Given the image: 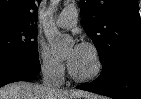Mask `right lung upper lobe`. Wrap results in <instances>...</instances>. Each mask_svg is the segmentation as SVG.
Wrapping results in <instances>:
<instances>
[{
    "label": "right lung upper lobe",
    "instance_id": "right-lung-upper-lobe-1",
    "mask_svg": "<svg viewBox=\"0 0 141 99\" xmlns=\"http://www.w3.org/2000/svg\"><path fill=\"white\" fill-rule=\"evenodd\" d=\"M41 0H0V24L36 25ZM37 26V25H36Z\"/></svg>",
    "mask_w": 141,
    "mask_h": 99
}]
</instances>
